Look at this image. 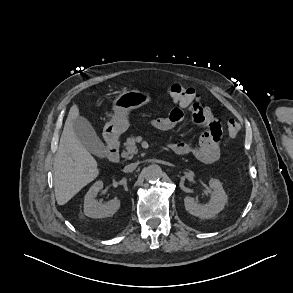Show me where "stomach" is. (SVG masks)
Instances as JSON below:
<instances>
[{"label":"stomach","instance_id":"stomach-1","mask_svg":"<svg viewBox=\"0 0 293 293\" xmlns=\"http://www.w3.org/2000/svg\"><path fill=\"white\" fill-rule=\"evenodd\" d=\"M152 98L148 93L138 90L124 91L113 102V115L110 122L104 126V134L108 137H116L125 132L129 124V114L149 102Z\"/></svg>","mask_w":293,"mask_h":293}]
</instances>
